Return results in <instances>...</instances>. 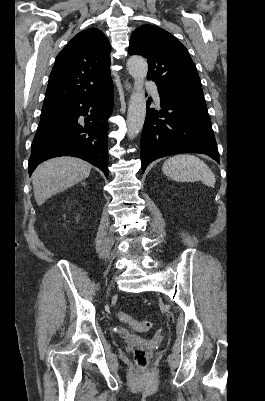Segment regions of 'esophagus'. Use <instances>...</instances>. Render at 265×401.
<instances>
[{"label":"esophagus","mask_w":265,"mask_h":401,"mask_svg":"<svg viewBox=\"0 0 265 401\" xmlns=\"http://www.w3.org/2000/svg\"><path fill=\"white\" fill-rule=\"evenodd\" d=\"M130 87H131V84H130L128 81H125V82H124V88H125L126 90H129Z\"/></svg>","instance_id":"34e87169"}]
</instances>
